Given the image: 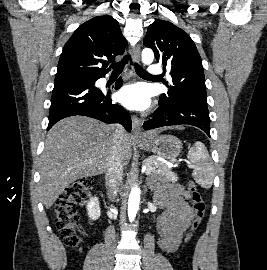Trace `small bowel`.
Wrapping results in <instances>:
<instances>
[{
  "label": "small bowel",
  "mask_w": 267,
  "mask_h": 270,
  "mask_svg": "<svg viewBox=\"0 0 267 270\" xmlns=\"http://www.w3.org/2000/svg\"><path fill=\"white\" fill-rule=\"evenodd\" d=\"M154 203L164 212L159 217V248L166 252H174L181 244L183 234L193 219V208L190 194L181 185L159 179L151 181Z\"/></svg>",
  "instance_id": "small-bowel-1"
}]
</instances>
